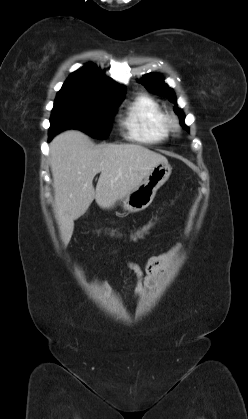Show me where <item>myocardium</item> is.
Wrapping results in <instances>:
<instances>
[{
  "mask_svg": "<svg viewBox=\"0 0 248 419\" xmlns=\"http://www.w3.org/2000/svg\"><path fill=\"white\" fill-rule=\"evenodd\" d=\"M165 126L168 132H178L181 128L180 122L173 113L165 114Z\"/></svg>",
  "mask_w": 248,
  "mask_h": 419,
  "instance_id": "myocardium-1",
  "label": "myocardium"
}]
</instances>
